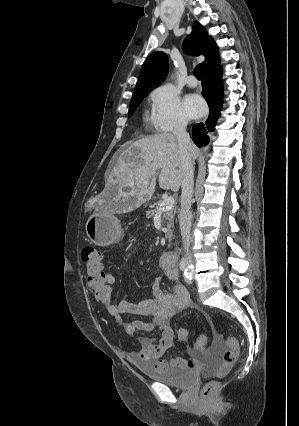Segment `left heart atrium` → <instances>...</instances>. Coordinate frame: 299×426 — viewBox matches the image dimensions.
I'll list each match as a JSON object with an SVG mask.
<instances>
[{
  "label": "left heart atrium",
  "mask_w": 299,
  "mask_h": 426,
  "mask_svg": "<svg viewBox=\"0 0 299 426\" xmlns=\"http://www.w3.org/2000/svg\"><path fill=\"white\" fill-rule=\"evenodd\" d=\"M185 106L187 114L191 118H197L205 111L204 101L196 94H190L186 97Z\"/></svg>",
  "instance_id": "39dd6f15"
}]
</instances>
